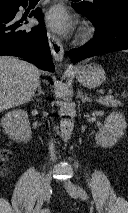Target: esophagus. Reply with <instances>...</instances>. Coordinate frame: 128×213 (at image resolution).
<instances>
[{
  "instance_id": "34e87169",
  "label": "esophagus",
  "mask_w": 128,
  "mask_h": 213,
  "mask_svg": "<svg viewBox=\"0 0 128 213\" xmlns=\"http://www.w3.org/2000/svg\"><path fill=\"white\" fill-rule=\"evenodd\" d=\"M48 43L52 55L57 62H62L64 58V49L59 38L55 36L50 30L47 32Z\"/></svg>"
}]
</instances>
